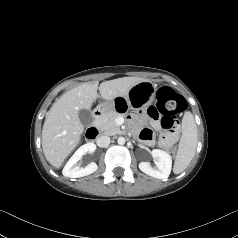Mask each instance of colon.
Returning a JSON list of instances; mask_svg holds the SVG:
<instances>
[{
	"label": "colon",
	"instance_id": "colon-1",
	"mask_svg": "<svg viewBox=\"0 0 238 238\" xmlns=\"http://www.w3.org/2000/svg\"><path fill=\"white\" fill-rule=\"evenodd\" d=\"M154 107L157 113L163 116L161 126L165 134L161 137L160 145L166 151L173 153L174 141L171 137L179 127L176 116L186 109V100L172 88L164 86L157 91V101Z\"/></svg>",
	"mask_w": 238,
	"mask_h": 238
}]
</instances>
